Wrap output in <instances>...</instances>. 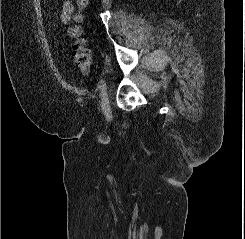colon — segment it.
<instances>
[{"label":"colon","instance_id":"1","mask_svg":"<svg viewBox=\"0 0 245 239\" xmlns=\"http://www.w3.org/2000/svg\"><path fill=\"white\" fill-rule=\"evenodd\" d=\"M88 0H77L78 11L73 17V25L69 27L68 34L73 39L72 55L83 77H87L91 66V53L82 36L83 11Z\"/></svg>","mask_w":245,"mask_h":239}]
</instances>
